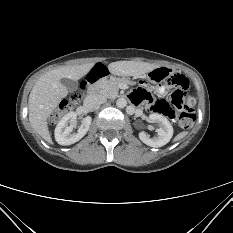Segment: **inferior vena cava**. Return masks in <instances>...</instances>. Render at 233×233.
Returning <instances> with one entry per match:
<instances>
[{
    "label": "inferior vena cava",
    "mask_w": 233,
    "mask_h": 233,
    "mask_svg": "<svg viewBox=\"0 0 233 233\" xmlns=\"http://www.w3.org/2000/svg\"><path fill=\"white\" fill-rule=\"evenodd\" d=\"M106 97L102 94H91L88 95L84 101V105L95 108L106 102Z\"/></svg>",
    "instance_id": "1"
}]
</instances>
